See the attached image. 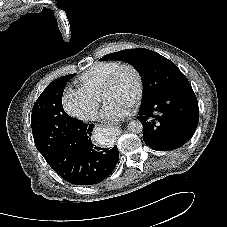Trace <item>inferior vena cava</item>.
Masks as SVG:
<instances>
[{"instance_id":"obj_1","label":"inferior vena cava","mask_w":227,"mask_h":227,"mask_svg":"<svg viewBox=\"0 0 227 227\" xmlns=\"http://www.w3.org/2000/svg\"><path fill=\"white\" fill-rule=\"evenodd\" d=\"M85 119L96 121L98 119V113L96 111H89L88 113H86Z\"/></svg>"}]
</instances>
